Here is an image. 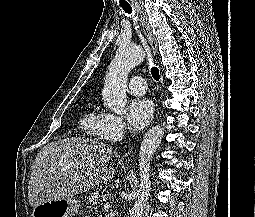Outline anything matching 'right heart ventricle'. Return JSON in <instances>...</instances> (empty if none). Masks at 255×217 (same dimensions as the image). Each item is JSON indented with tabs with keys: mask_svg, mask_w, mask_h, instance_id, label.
<instances>
[{
	"mask_svg": "<svg viewBox=\"0 0 255 217\" xmlns=\"http://www.w3.org/2000/svg\"><path fill=\"white\" fill-rule=\"evenodd\" d=\"M102 113L99 112L98 107H91L81 118L79 124L81 129L89 136L102 139L103 136L100 131Z\"/></svg>",
	"mask_w": 255,
	"mask_h": 217,
	"instance_id": "1",
	"label": "right heart ventricle"
}]
</instances>
